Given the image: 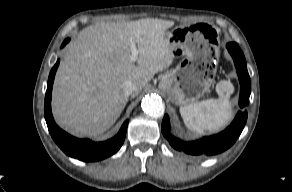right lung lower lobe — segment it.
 I'll list each match as a JSON object with an SVG mask.
<instances>
[{
	"instance_id": "1",
	"label": "right lung lower lobe",
	"mask_w": 292,
	"mask_h": 192,
	"mask_svg": "<svg viewBox=\"0 0 292 192\" xmlns=\"http://www.w3.org/2000/svg\"><path fill=\"white\" fill-rule=\"evenodd\" d=\"M68 42L69 39H66L61 47H64ZM58 65L59 60L49 74L44 102L45 119L52 138L67 155L82 161H99L113 155L120 149L124 142L128 120L124 122L119 133L114 138L101 143H95L87 139L80 140L74 138L56 125L51 112V92Z\"/></svg>"
}]
</instances>
